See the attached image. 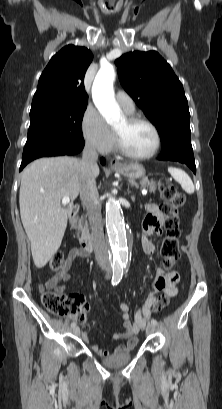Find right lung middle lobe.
<instances>
[{"label":"right lung middle lobe","mask_w":222,"mask_h":409,"mask_svg":"<svg viewBox=\"0 0 222 409\" xmlns=\"http://www.w3.org/2000/svg\"><path fill=\"white\" fill-rule=\"evenodd\" d=\"M87 103L41 106L30 111V127L22 160L67 154L84 145L81 123Z\"/></svg>","instance_id":"1"}]
</instances>
